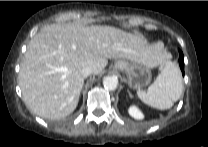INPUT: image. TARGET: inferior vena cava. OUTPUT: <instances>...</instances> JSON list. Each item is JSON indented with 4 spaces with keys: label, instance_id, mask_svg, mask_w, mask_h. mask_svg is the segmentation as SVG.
Instances as JSON below:
<instances>
[{
    "label": "inferior vena cava",
    "instance_id": "inferior-vena-cava-1",
    "mask_svg": "<svg viewBox=\"0 0 208 147\" xmlns=\"http://www.w3.org/2000/svg\"><path fill=\"white\" fill-rule=\"evenodd\" d=\"M94 73V69L92 66H85L83 69H82V75L84 78L88 77L89 75L93 74Z\"/></svg>",
    "mask_w": 208,
    "mask_h": 147
}]
</instances>
